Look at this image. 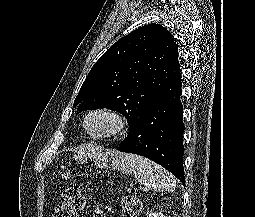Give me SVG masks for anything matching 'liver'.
I'll use <instances>...</instances> for the list:
<instances>
[{
  "instance_id": "liver-1",
  "label": "liver",
  "mask_w": 255,
  "mask_h": 217,
  "mask_svg": "<svg viewBox=\"0 0 255 217\" xmlns=\"http://www.w3.org/2000/svg\"><path fill=\"white\" fill-rule=\"evenodd\" d=\"M116 155H119V153L111 150L104 152L102 148L90 146H83L78 148L75 154L76 158L80 160L87 158L109 159L111 157H115Z\"/></svg>"
}]
</instances>
